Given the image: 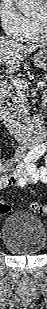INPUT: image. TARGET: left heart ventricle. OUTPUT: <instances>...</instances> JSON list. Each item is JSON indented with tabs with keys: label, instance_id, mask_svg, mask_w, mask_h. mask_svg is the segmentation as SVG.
Masks as SVG:
<instances>
[{
	"label": "left heart ventricle",
	"instance_id": "1",
	"mask_svg": "<svg viewBox=\"0 0 47 309\" xmlns=\"http://www.w3.org/2000/svg\"><path fill=\"white\" fill-rule=\"evenodd\" d=\"M45 12H42L38 17H37V19H44V17H45Z\"/></svg>",
	"mask_w": 47,
	"mask_h": 309
}]
</instances>
